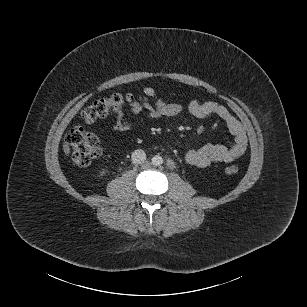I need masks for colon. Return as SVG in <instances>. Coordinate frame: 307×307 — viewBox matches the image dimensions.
<instances>
[{
  "instance_id": "obj_1",
  "label": "colon",
  "mask_w": 307,
  "mask_h": 307,
  "mask_svg": "<svg viewBox=\"0 0 307 307\" xmlns=\"http://www.w3.org/2000/svg\"><path fill=\"white\" fill-rule=\"evenodd\" d=\"M140 101H142V98H137L132 94H113L110 97L98 99L84 108L82 118L85 123L91 124L113 110ZM66 141L71 147L73 160L80 166L89 165L101 153L102 148L98 136L82 125H76L70 129L66 135ZM225 171L227 174L233 175L238 173L239 168L230 165L225 168Z\"/></svg>"
}]
</instances>
